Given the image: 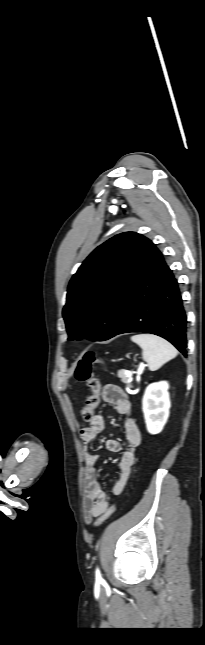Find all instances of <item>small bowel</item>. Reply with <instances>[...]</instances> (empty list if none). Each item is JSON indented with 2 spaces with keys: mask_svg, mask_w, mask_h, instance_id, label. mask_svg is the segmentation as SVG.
Returning a JSON list of instances; mask_svg holds the SVG:
<instances>
[{
  "mask_svg": "<svg viewBox=\"0 0 205 645\" xmlns=\"http://www.w3.org/2000/svg\"><path fill=\"white\" fill-rule=\"evenodd\" d=\"M101 399L104 403L113 405L117 413L124 417L125 448L122 449L120 442L116 439H108L106 441V447L109 451H122L118 463V476L111 486V493L113 495H119L122 493L128 481L131 467L136 461L137 449L141 442V434L135 420L131 417V402L121 388L112 384L105 385ZM104 428V417L102 414L97 413L90 420V425L81 429L80 437L86 445L91 444ZM98 460V455L86 451L84 469L85 497L83 508L84 517L87 522L94 517L100 516L109 505V497L102 489L97 477L96 464Z\"/></svg>",
  "mask_w": 205,
  "mask_h": 645,
  "instance_id": "small-bowel-1",
  "label": "small bowel"
}]
</instances>
